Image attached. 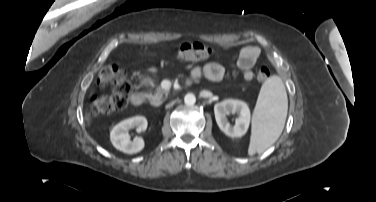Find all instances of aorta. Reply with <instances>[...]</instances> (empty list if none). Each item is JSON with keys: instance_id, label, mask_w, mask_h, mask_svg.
Masks as SVG:
<instances>
[{"instance_id": "762f6f07", "label": "aorta", "mask_w": 376, "mask_h": 202, "mask_svg": "<svg viewBox=\"0 0 376 202\" xmlns=\"http://www.w3.org/2000/svg\"><path fill=\"white\" fill-rule=\"evenodd\" d=\"M184 102L186 105H194L196 102L195 95L192 93L186 94V96L184 97Z\"/></svg>"}]
</instances>
